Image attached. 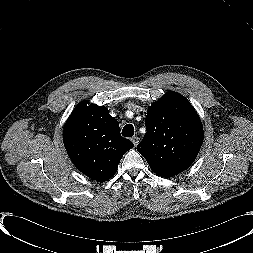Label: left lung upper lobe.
<instances>
[{
    "mask_svg": "<svg viewBox=\"0 0 253 253\" xmlns=\"http://www.w3.org/2000/svg\"><path fill=\"white\" fill-rule=\"evenodd\" d=\"M145 125L147 132L137 150L154 173L173 177L194 162L204 131L195 109L185 97L168 92L148 109Z\"/></svg>",
    "mask_w": 253,
    "mask_h": 253,
    "instance_id": "left-lung-upper-lobe-1",
    "label": "left lung upper lobe"
}]
</instances>
